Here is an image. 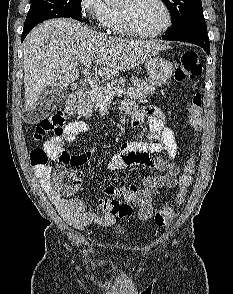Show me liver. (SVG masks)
Listing matches in <instances>:
<instances>
[{
  "label": "liver",
  "instance_id": "6515ba94",
  "mask_svg": "<svg viewBox=\"0 0 233 294\" xmlns=\"http://www.w3.org/2000/svg\"><path fill=\"white\" fill-rule=\"evenodd\" d=\"M166 48L158 41L111 37L72 19L49 20L35 27L23 43L25 108L35 107L47 87L65 91L91 59L102 79L130 70Z\"/></svg>",
  "mask_w": 233,
  "mask_h": 294
}]
</instances>
